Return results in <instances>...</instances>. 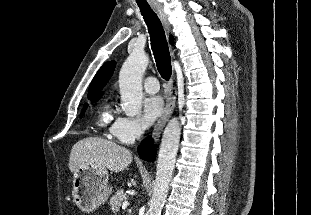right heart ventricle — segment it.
<instances>
[{
	"label": "right heart ventricle",
	"instance_id": "1",
	"mask_svg": "<svg viewBox=\"0 0 311 215\" xmlns=\"http://www.w3.org/2000/svg\"><path fill=\"white\" fill-rule=\"evenodd\" d=\"M113 120V111L110 105H105L98 115V123L101 126L109 124Z\"/></svg>",
	"mask_w": 311,
	"mask_h": 215
}]
</instances>
